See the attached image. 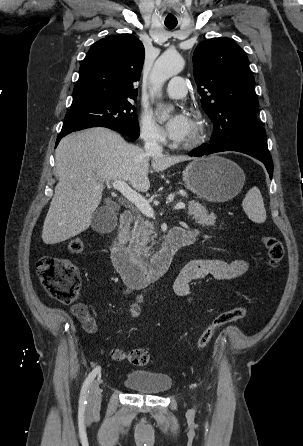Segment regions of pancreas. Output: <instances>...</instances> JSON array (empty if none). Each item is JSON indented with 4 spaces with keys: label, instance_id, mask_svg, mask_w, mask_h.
Returning a JSON list of instances; mask_svg holds the SVG:
<instances>
[{
    "label": "pancreas",
    "instance_id": "cf45deb5",
    "mask_svg": "<svg viewBox=\"0 0 303 446\" xmlns=\"http://www.w3.org/2000/svg\"><path fill=\"white\" fill-rule=\"evenodd\" d=\"M44 5L39 6L42 9ZM188 214L192 216L195 222L202 226H215L216 216L214 214H208L206 208L191 200L188 202ZM157 234L155 232L154 224L148 219L137 215L133 227L126 232V241L129 242L128 249L137 256L148 257L150 250L155 244V238ZM151 246H147L148 244Z\"/></svg>",
    "mask_w": 303,
    "mask_h": 446
}]
</instances>
